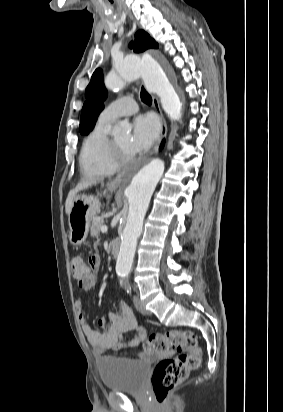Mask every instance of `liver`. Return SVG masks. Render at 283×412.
I'll list each match as a JSON object with an SVG mask.
<instances>
[{
  "label": "liver",
  "instance_id": "6515ba94",
  "mask_svg": "<svg viewBox=\"0 0 283 412\" xmlns=\"http://www.w3.org/2000/svg\"><path fill=\"white\" fill-rule=\"evenodd\" d=\"M96 183H97V180H94V179L93 180L92 179L83 180L82 182H80L75 187V189L71 190L68 193V196H67V199H66V202H65V212L68 216L70 214L72 205H73L75 199L77 198V193L84 190V189H87L89 186H91L93 184H96Z\"/></svg>",
  "mask_w": 283,
  "mask_h": 412
}]
</instances>
